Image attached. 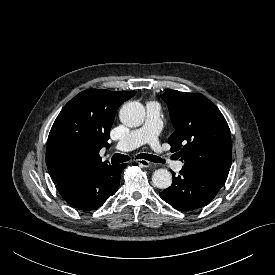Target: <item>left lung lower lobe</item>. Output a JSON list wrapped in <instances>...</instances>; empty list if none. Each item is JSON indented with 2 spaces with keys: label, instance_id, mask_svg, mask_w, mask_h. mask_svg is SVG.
<instances>
[{
  "label": "left lung lower lobe",
  "instance_id": "left-lung-lower-lobe-1",
  "mask_svg": "<svg viewBox=\"0 0 275 275\" xmlns=\"http://www.w3.org/2000/svg\"><path fill=\"white\" fill-rule=\"evenodd\" d=\"M224 183L214 176L182 168L179 176L173 173L172 185L160 197L179 211H192L208 204Z\"/></svg>",
  "mask_w": 275,
  "mask_h": 275
}]
</instances>
